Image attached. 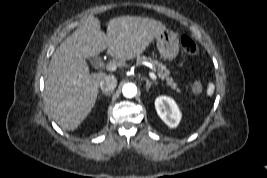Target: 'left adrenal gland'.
Segmentation results:
<instances>
[{
  "instance_id": "obj_1",
  "label": "left adrenal gland",
  "mask_w": 267,
  "mask_h": 178,
  "mask_svg": "<svg viewBox=\"0 0 267 178\" xmlns=\"http://www.w3.org/2000/svg\"><path fill=\"white\" fill-rule=\"evenodd\" d=\"M146 81V91L148 92L153 82H150L147 78L144 79ZM156 84V83H155Z\"/></svg>"
}]
</instances>
